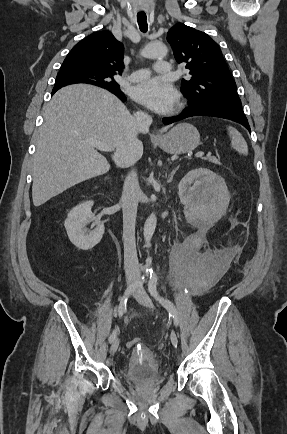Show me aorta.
<instances>
[{
  "label": "aorta",
  "instance_id": "aorta-1",
  "mask_svg": "<svg viewBox=\"0 0 287 434\" xmlns=\"http://www.w3.org/2000/svg\"><path fill=\"white\" fill-rule=\"evenodd\" d=\"M168 49L165 44L161 42H154L149 45H147L141 52V55L145 58H163L167 55ZM157 224V217L155 214H151L145 224H144V240H145V246H150V241L152 239V236L154 234L155 228ZM146 271H152L151 268V259L148 257L146 259Z\"/></svg>",
  "mask_w": 287,
  "mask_h": 434
}]
</instances>
